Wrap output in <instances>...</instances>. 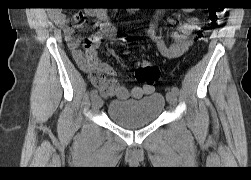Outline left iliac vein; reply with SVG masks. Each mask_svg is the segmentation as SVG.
I'll return each mask as SVG.
<instances>
[{"label":"left iliac vein","instance_id":"4c4485c4","mask_svg":"<svg viewBox=\"0 0 251 180\" xmlns=\"http://www.w3.org/2000/svg\"><path fill=\"white\" fill-rule=\"evenodd\" d=\"M167 101L169 102V104L171 105H175L177 102V96L176 93H174L173 91H169L167 92Z\"/></svg>","mask_w":251,"mask_h":180}]
</instances>
